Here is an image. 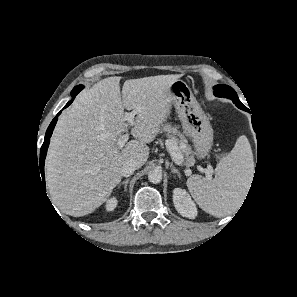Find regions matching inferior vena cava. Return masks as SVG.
<instances>
[{
  "label": "inferior vena cava",
  "mask_w": 297,
  "mask_h": 297,
  "mask_svg": "<svg viewBox=\"0 0 297 297\" xmlns=\"http://www.w3.org/2000/svg\"><path fill=\"white\" fill-rule=\"evenodd\" d=\"M138 168V165L130 160L126 161L120 168V173L123 177H128L134 173V171Z\"/></svg>",
  "instance_id": "obj_1"
}]
</instances>
